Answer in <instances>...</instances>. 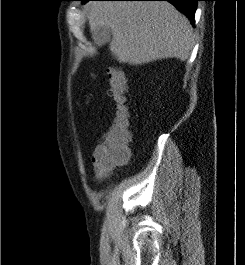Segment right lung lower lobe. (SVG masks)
Masks as SVG:
<instances>
[{
  "label": "right lung lower lobe",
  "instance_id": "1",
  "mask_svg": "<svg viewBox=\"0 0 245 265\" xmlns=\"http://www.w3.org/2000/svg\"><path fill=\"white\" fill-rule=\"evenodd\" d=\"M90 1V0H88ZM125 1H168L173 4L178 10L183 12L194 25V15L199 0H125Z\"/></svg>",
  "mask_w": 245,
  "mask_h": 265
}]
</instances>
